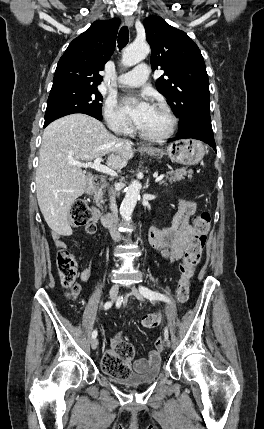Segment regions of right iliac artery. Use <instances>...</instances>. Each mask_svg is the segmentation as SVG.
Here are the masks:
<instances>
[{
	"label": "right iliac artery",
	"mask_w": 264,
	"mask_h": 429,
	"mask_svg": "<svg viewBox=\"0 0 264 429\" xmlns=\"http://www.w3.org/2000/svg\"><path fill=\"white\" fill-rule=\"evenodd\" d=\"M112 302L111 301H108V302H106L105 304H104V309L105 310H107V309H109L111 306H112ZM96 336H97V331L96 330H94L93 332H92V338H96Z\"/></svg>",
	"instance_id": "obj_1"
}]
</instances>
